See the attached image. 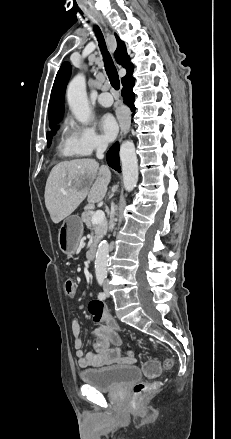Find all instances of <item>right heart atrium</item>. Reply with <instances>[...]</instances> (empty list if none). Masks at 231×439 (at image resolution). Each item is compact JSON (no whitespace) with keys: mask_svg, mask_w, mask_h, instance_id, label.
Returning a JSON list of instances; mask_svg holds the SVG:
<instances>
[{"mask_svg":"<svg viewBox=\"0 0 231 439\" xmlns=\"http://www.w3.org/2000/svg\"><path fill=\"white\" fill-rule=\"evenodd\" d=\"M70 139L73 150L80 156H89L93 152L103 150L107 147V142L104 138L88 124L80 125L71 122Z\"/></svg>","mask_w":231,"mask_h":439,"instance_id":"1","label":"right heart atrium"}]
</instances>
